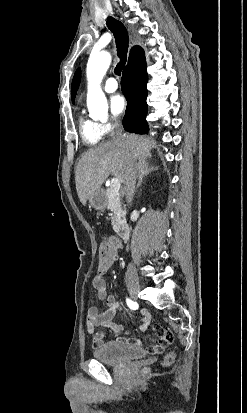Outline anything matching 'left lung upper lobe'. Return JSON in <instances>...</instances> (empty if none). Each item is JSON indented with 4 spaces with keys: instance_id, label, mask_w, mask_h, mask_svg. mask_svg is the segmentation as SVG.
<instances>
[{
    "instance_id": "obj_1",
    "label": "left lung upper lobe",
    "mask_w": 247,
    "mask_h": 413,
    "mask_svg": "<svg viewBox=\"0 0 247 413\" xmlns=\"http://www.w3.org/2000/svg\"><path fill=\"white\" fill-rule=\"evenodd\" d=\"M80 76H81V71L80 68L77 69V71L74 74L73 80H72V89H71V95H72V102L74 103L75 100V95L77 92V89L79 87L80 83Z\"/></svg>"
}]
</instances>
